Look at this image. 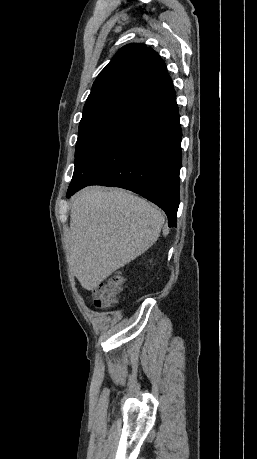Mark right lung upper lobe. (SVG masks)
<instances>
[{
	"label": "right lung upper lobe",
	"instance_id": "cb5924a9",
	"mask_svg": "<svg viewBox=\"0 0 257 459\" xmlns=\"http://www.w3.org/2000/svg\"><path fill=\"white\" fill-rule=\"evenodd\" d=\"M171 90L173 84L160 56L143 44H128L96 78L83 115L112 107L137 112Z\"/></svg>",
	"mask_w": 257,
	"mask_h": 459
}]
</instances>
